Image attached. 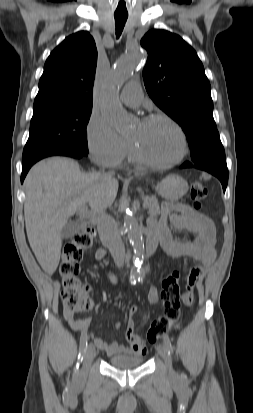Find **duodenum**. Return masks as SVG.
I'll list each match as a JSON object with an SVG mask.
<instances>
[{
  "label": "duodenum",
  "mask_w": 253,
  "mask_h": 413,
  "mask_svg": "<svg viewBox=\"0 0 253 413\" xmlns=\"http://www.w3.org/2000/svg\"><path fill=\"white\" fill-rule=\"evenodd\" d=\"M158 236L150 232L148 233L147 241H146V247H145V253L146 255H151L155 252L157 245H158ZM99 251L105 255V250L104 249H99Z\"/></svg>",
  "instance_id": "duodenum-1"
}]
</instances>
